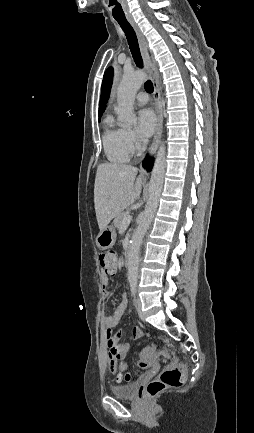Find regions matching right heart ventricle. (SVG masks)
<instances>
[{"label": "right heart ventricle", "instance_id": "1", "mask_svg": "<svg viewBox=\"0 0 254 433\" xmlns=\"http://www.w3.org/2000/svg\"><path fill=\"white\" fill-rule=\"evenodd\" d=\"M102 143L108 161L115 164L129 161L132 152L126 142L125 129L118 126L112 116L105 118Z\"/></svg>", "mask_w": 254, "mask_h": 433}]
</instances>
